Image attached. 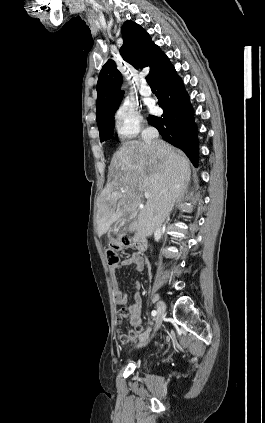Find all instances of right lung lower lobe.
Wrapping results in <instances>:
<instances>
[{
	"label": "right lung lower lobe",
	"mask_w": 265,
	"mask_h": 423,
	"mask_svg": "<svg viewBox=\"0 0 265 423\" xmlns=\"http://www.w3.org/2000/svg\"><path fill=\"white\" fill-rule=\"evenodd\" d=\"M153 80L157 86L156 96L164 113L161 117L150 115L149 124L159 131L165 141L183 150L197 166L198 139L194 113L181 78L168 62Z\"/></svg>",
	"instance_id": "98d812e1"
}]
</instances>
